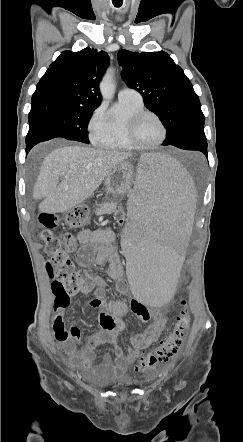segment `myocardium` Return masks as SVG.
Returning <instances> with one entry per match:
<instances>
[{"label": "myocardium", "instance_id": "obj_1", "mask_svg": "<svg viewBox=\"0 0 243 442\" xmlns=\"http://www.w3.org/2000/svg\"><path fill=\"white\" fill-rule=\"evenodd\" d=\"M145 116H153L158 121V123L160 124V126L162 128L161 138L159 139V141H157L156 143H154L152 145L142 144L136 138L137 124ZM126 133H127V139L129 141V143L134 148L142 149V150H153V149H157L165 142V140L167 138L168 130H167V126H166L165 122L163 121V119L161 118V116L158 113H156L152 110L144 109V110L137 112L129 119V121L127 123Z\"/></svg>", "mask_w": 243, "mask_h": 442}]
</instances>
